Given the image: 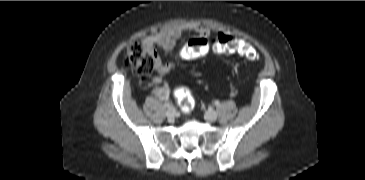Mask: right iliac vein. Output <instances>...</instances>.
Listing matches in <instances>:
<instances>
[{
	"mask_svg": "<svg viewBox=\"0 0 365 180\" xmlns=\"http://www.w3.org/2000/svg\"><path fill=\"white\" fill-rule=\"evenodd\" d=\"M166 114H167L168 118H173V117L175 116V114H176V110H175V108H174V107H172V106H169V107L167 108V112H166Z\"/></svg>",
	"mask_w": 365,
	"mask_h": 180,
	"instance_id": "63e3f726",
	"label": "right iliac vein"
}]
</instances>
